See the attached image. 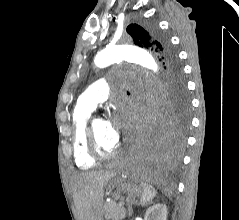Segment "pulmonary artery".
<instances>
[{"mask_svg": "<svg viewBox=\"0 0 239 220\" xmlns=\"http://www.w3.org/2000/svg\"><path fill=\"white\" fill-rule=\"evenodd\" d=\"M109 83L106 79H99L92 83L80 96L78 103L95 109L99 103L108 99Z\"/></svg>", "mask_w": 239, "mask_h": 220, "instance_id": "obj_1", "label": "pulmonary artery"}]
</instances>
